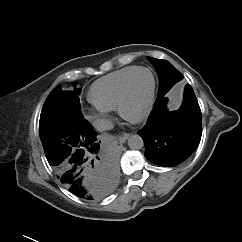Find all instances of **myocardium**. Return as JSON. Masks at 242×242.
I'll return each mask as SVG.
<instances>
[{
  "label": "myocardium",
  "mask_w": 242,
  "mask_h": 242,
  "mask_svg": "<svg viewBox=\"0 0 242 242\" xmlns=\"http://www.w3.org/2000/svg\"><path fill=\"white\" fill-rule=\"evenodd\" d=\"M143 71H146L151 75V77H152V87H151L146 105H145L144 109L142 110V112L137 114V115L132 116V115L127 113L126 104H127V100H128V97H129L131 85H132V82H133L135 76L138 73L143 72ZM156 88H157V81H156V77H155V74L153 73V71L149 68H146V67H138L128 77V79L126 80V82L123 86V89L121 91V94H120V97H119V100H118V106H117V110H118L119 115L124 120H126L130 123H133V124H138V123L145 121L149 117V115H150V113L153 109L154 102H155Z\"/></svg>",
  "instance_id": "f54148a6"
}]
</instances>
